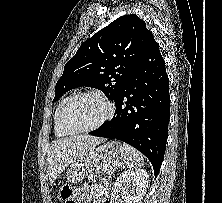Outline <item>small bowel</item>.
Here are the masks:
<instances>
[{
	"label": "small bowel",
	"mask_w": 222,
	"mask_h": 203,
	"mask_svg": "<svg viewBox=\"0 0 222 203\" xmlns=\"http://www.w3.org/2000/svg\"><path fill=\"white\" fill-rule=\"evenodd\" d=\"M102 192H103L102 189H94L88 185H84L75 190V193L73 195V200H74V203H80L84 198L92 197L94 195L100 196Z\"/></svg>",
	"instance_id": "obj_1"
}]
</instances>
